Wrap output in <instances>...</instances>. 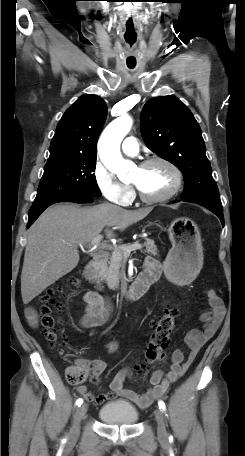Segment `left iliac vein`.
Segmentation results:
<instances>
[{
    "label": "left iliac vein",
    "mask_w": 245,
    "mask_h": 456,
    "mask_svg": "<svg viewBox=\"0 0 245 456\" xmlns=\"http://www.w3.org/2000/svg\"><path fill=\"white\" fill-rule=\"evenodd\" d=\"M154 414H155V419H156V422H157V435H158V438L161 441H166V439L168 437V434H167V430H166V427H165V418H164L163 411L160 410V409H156L154 411Z\"/></svg>",
    "instance_id": "obj_1"
}]
</instances>
